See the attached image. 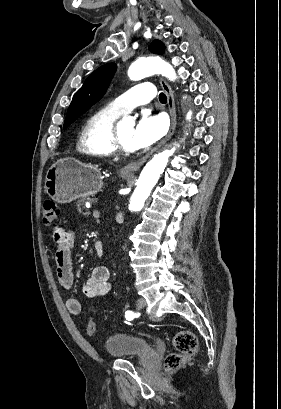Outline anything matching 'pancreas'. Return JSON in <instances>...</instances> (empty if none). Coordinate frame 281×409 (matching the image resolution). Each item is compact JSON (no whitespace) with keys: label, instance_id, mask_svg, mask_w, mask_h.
I'll list each match as a JSON object with an SVG mask.
<instances>
[{"label":"pancreas","instance_id":"obj_1","mask_svg":"<svg viewBox=\"0 0 281 409\" xmlns=\"http://www.w3.org/2000/svg\"><path fill=\"white\" fill-rule=\"evenodd\" d=\"M89 198H87V200H77L78 202V207H80V205H82V202H88Z\"/></svg>","mask_w":281,"mask_h":409}]
</instances>
